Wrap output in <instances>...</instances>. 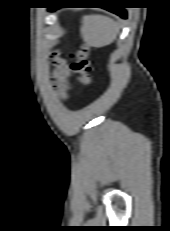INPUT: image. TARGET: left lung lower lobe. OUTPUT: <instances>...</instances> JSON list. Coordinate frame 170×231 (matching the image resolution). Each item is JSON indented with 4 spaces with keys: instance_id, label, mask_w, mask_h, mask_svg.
<instances>
[{
    "instance_id": "0a47b994",
    "label": "left lung lower lobe",
    "mask_w": 170,
    "mask_h": 231,
    "mask_svg": "<svg viewBox=\"0 0 170 231\" xmlns=\"http://www.w3.org/2000/svg\"><path fill=\"white\" fill-rule=\"evenodd\" d=\"M103 8L121 16L122 18H126V11L123 9V7H103ZM55 9H57V8L53 7V8H50L49 10L53 11Z\"/></svg>"
}]
</instances>
